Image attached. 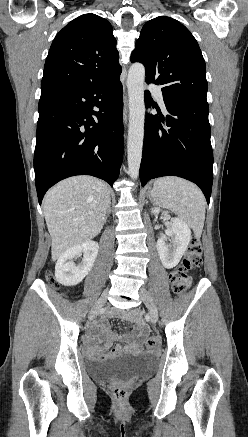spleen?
Segmentation results:
<instances>
[{
    "label": "spleen",
    "mask_w": 248,
    "mask_h": 437,
    "mask_svg": "<svg viewBox=\"0 0 248 437\" xmlns=\"http://www.w3.org/2000/svg\"><path fill=\"white\" fill-rule=\"evenodd\" d=\"M152 199L175 212L181 221L201 236L205 220L206 201L201 190L182 178L166 176L154 182Z\"/></svg>",
    "instance_id": "obj_1"
}]
</instances>
